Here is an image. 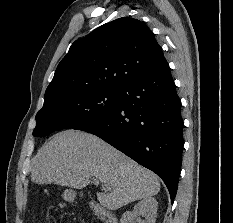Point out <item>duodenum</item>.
Wrapping results in <instances>:
<instances>
[{"mask_svg":"<svg viewBox=\"0 0 233 223\" xmlns=\"http://www.w3.org/2000/svg\"><path fill=\"white\" fill-rule=\"evenodd\" d=\"M89 206L93 213L101 219L104 223H117V219L113 213L105 209L102 205H100L96 201H91Z\"/></svg>","mask_w":233,"mask_h":223,"instance_id":"1","label":"duodenum"}]
</instances>
